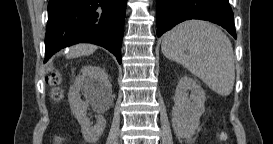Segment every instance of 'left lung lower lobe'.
<instances>
[{
	"label": "left lung lower lobe",
	"mask_w": 273,
	"mask_h": 144,
	"mask_svg": "<svg viewBox=\"0 0 273 144\" xmlns=\"http://www.w3.org/2000/svg\"><path fill=\"white\" fill-rule=\"evenodd\" d=\"M157 36L189 19L211 21L235 39L234 16L228 0H157Z\"/></svg>",
	"instance_id": "0a47b994"
}]
</instances>
